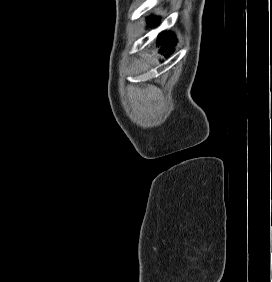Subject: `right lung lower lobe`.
Returning a JSON list of instances; mask_svg holds the SVG:
<instances>
[{
  "instance_id": "98d812e1",
  "label": "right lung lower lobe",
  "mask_w": 272,
  "mask_h": 282,
  "mask_svg": "<svg viewBox=\"0 0 272 282\" xmlns=\"http://www.w3.org/2000/svg\"><path fill=\"white\" fill-rule=\"evenodd\" d=\"M158 19L150 18L149 19V25L154 26L157 24ZM158 44L162 46V50H166L169 46H174L175 44V37L173 36L172 33L166 34L165 36L163 34H160L159 39H158ZM173 48L169 49V52H172Z\"/></svg>"
}]
</instances>
